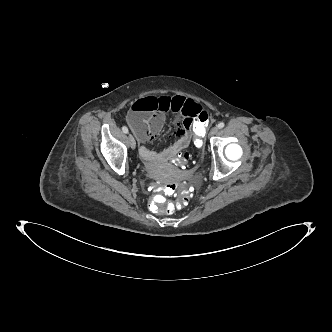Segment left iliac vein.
I'll return each instance as SVG.
<instances>
[{"mask_svg": "<svg viewBox=\"0 0 332 332\" xmlns=\"http://www.w3.org/2000/svg\"><path fill=\"white\" fill-rule=\"evenodd\" d=\"M217 132H218V127L216 126L212 127L209 132V137L214 136L215 134H217Z\"/></svg>", "mask_w": 332, "mask_h": 332, "instance_id": "4c4485c4", "label": "left iliac vein"}]
</instances>
